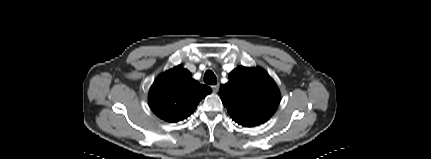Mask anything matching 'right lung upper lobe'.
Listing matches in <instances>:
<instances>
[{"mask_svg":"<svg viewBox=\"0 0 431 159\" xmlns=\"http://www.w3.org/2000/svg\"><path fill=\"white\" fill-rule=\"evenodd\" d=\"M209 93L210 87L200 85L188 70L176 66L156 78L150 88L149 106L161 119L178 122L192 114Z\"/></svg>","mask_w":431,"mask_h":159,"instance_id":"obj_1","label":"right lung upper lobe"}]
</instances>
